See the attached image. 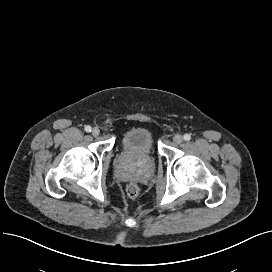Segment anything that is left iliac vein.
<instances>
[{
  "label": "left iliac vein",
  "instance_id": "obj_1",
  "mask_svg": "<svg viewBox=\"0 0 272 272\" xmlns=\"http://www.w3.org/2000/svg\"><path fill=\"white\" fill-rule=\"evenodd\" d=\"M173 141H174V143H176V144H180V143L183 141L182 135L176 134V135L173 137Z\"/></svg>",
  "mask_w": 272,
  "mask_h": 272
}]
</instances>
